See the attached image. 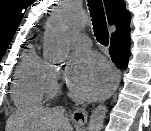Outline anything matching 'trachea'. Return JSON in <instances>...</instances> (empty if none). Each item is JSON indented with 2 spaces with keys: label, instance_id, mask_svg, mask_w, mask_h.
<instances>
[{
  "label": "trachea",
  "instance_id": "3493384b",
  "mask_svg": "<svg viewBox=\"0 0 151 131\" xmlns=\"http://www.w3.org/2000/svg\"><path fill=\"white\" fill-rule=\"evenodd\" d=\"M87 2L90 16L92 18L94 35L102 46H108L109 32L107 29L102 0H87Z\"/></svg>",
  "mask_w": 151,
  "mask_h": 131
}]
</instances>
